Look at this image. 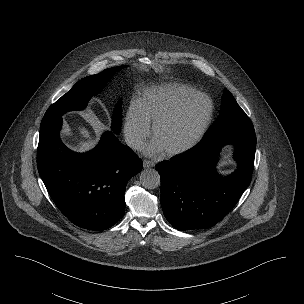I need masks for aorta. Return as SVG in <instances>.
I'll use <instances>...</instances> for the list:
<instances>
[{"mask_svg": "<svg viewBox=\"0 0 304 304\" xmlns=\"http://www.w3.org/2000/svg\"><path fill=\"white\" fill-rule=\"evenodd\" d=\"M140 183L146 189H155L160 185V175L155 169H145L140 173Z\"/></svg>", "mask_w": 304, "mask_h": 304, "instance_id": "762f6f07", "label": "aorta"}]
</instances>
